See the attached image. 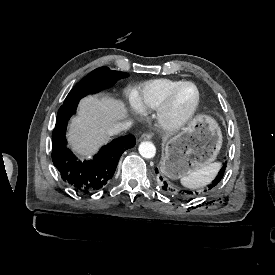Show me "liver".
<instances>
[{
  "mask_svg": "<svg viewBox=\"0 0 275 275\" xmlns=\"http://www.w3.org/2000/svg\"><path fill=\"white\" fill-rule=\"evenodd\" d=\"M126 117L127 109L121 100L109 96L83 98L77 116L69 124V146L83 158H90L109 141L107 129Z\"/></svg>",
  "mask_w": 275,
  "mask_h": 275,
  "instance_id": "liver-1",
  "label": "liver"
}]
</instances>
